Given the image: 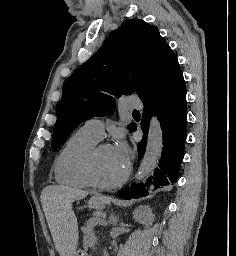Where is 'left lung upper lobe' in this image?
<instances>
[{
    "mask_svg": "<svg viewBox=\"0 0 236 256\" xmlns=\"http://www.w3.org/2000/svg\"><path fill=\"white\" fill-rule=\"evenodd\" d=\"M176 55L155 26L130 19L112 31L102 47L65 83L51 147L94 116L111 114L116 99L137 94L141 101L179 69ZM135 124L128 128L133 131Z\"/></svg>",
    "mask_w": 236,
    "mask_h": 256,
    "instance_id": "1",
    "label": "left lung upper lobe"
}]
</instances>
